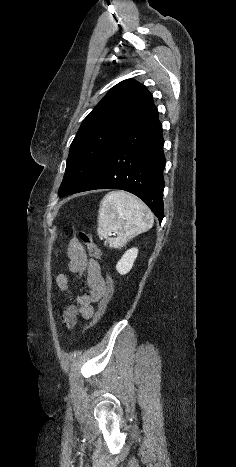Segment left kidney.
<instances>
[{"label": "left kidney", "mask_w": 236, "mask_h": 467, "mask_svg": "<svg viewBox=\"0 0 236 467\" xmlns=\"http://www.w3.org/2000/svg\"><path fill=\"white\" fill-rule=\"evenodd\" d=\"M137 255V248H131L127 250L116 265V270L118 271V273H120L121 275L127 274L132 269Z\"/></svg>", "instance_id": "left-kidney-1"}]
</instances>
